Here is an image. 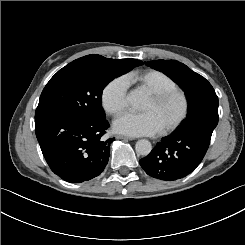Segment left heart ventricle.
<instances>
[{
  "instance_id": "obj_1",
  "label": "left heart ventricle",
  "mask_w": 245,
  "mask_h": 245,
  "mask_svg": "<svg viewBox=\"0 0 245 245\" xmlns=\"http://www.w3.org/2000/svg\"><path fill=\"white\" fill-rule=\"evenodd\" d=\"M180 110V102L178 99H172L162 105H156L151 97L147 95V99L142 111L152 112L161 124V127L172 119Z\"/></svg>"
}]
</instances>
